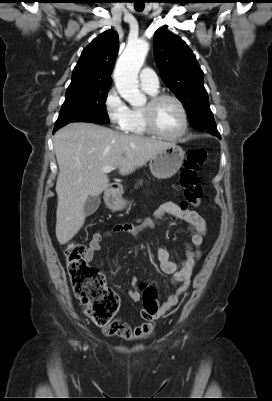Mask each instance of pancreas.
I'll use <instances>...</instances> for the list:
<instances>
[{"mask_svg": "<svg viewBox=\"0 0 272 401\" xmlns=\"http://www.w3.org/2000/svg\"><path fill=\"white\" fill-rule=\"evenodd\" d=\"M139 185H142V181H139V183H138Z\"/></svg>", "mask_w": 272, "mask_h": 401, "instance_id": "1", "label": "pancreas"}]
</instances>
